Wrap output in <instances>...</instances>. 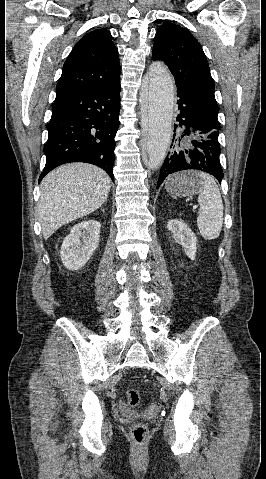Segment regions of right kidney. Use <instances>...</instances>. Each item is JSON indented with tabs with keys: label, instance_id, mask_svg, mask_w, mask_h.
Wrapping results in <instances>:
<instances>
[{
	"label": "right kidney",
	"instance_id": "1",
	"mask_svg": "<svg viewBox=\"0 0 266 479\" xmlns=\"http://www.w3.org/2000/svg\"><path fill=\"white\" fill-rule=\"evenodd\" d=\"M101 224L86 220L76 224L63 240L60 257L69 270H78L91 258L99 244Z\"/></svg>",
	"mask_w": 266,
	"mask_h": 479
}]
</instances>
